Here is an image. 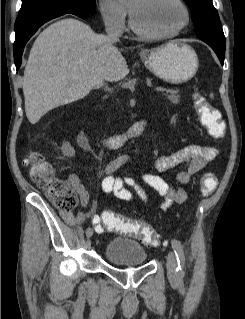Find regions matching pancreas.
<instances>
[{"mask_svg": "<svg viewBox=\"0 0 245 319\" xmlns=\"http://www.w3.org/2000/svg\"><path fill=\"white\" fill-rule=\"evenodd\" d=\"M165 97L173 104H178L180 100V95L177 90L169 89L164 93Z\"/></svg>", "mask_w": 245, "mask_h": 319, "instance_id": "pancreas-1", "label": "pancreas"}]
</instances>
